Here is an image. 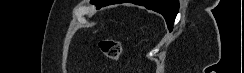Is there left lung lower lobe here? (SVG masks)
Segmentation results:
<instances>
[{
    "label": "left lung lower lobe",
    "mask_w": 244,
    "mask_h": 73,
    "mask_svg": "<svg viewBox=\"0 0 244 73\" xmlns=\"http://www.w3.org/2000/svg\"><path fill=\"white\" fill-rule=\"evenodd\" d=\"M123 2H130L145 6L147 9H151L162 14L167 22L169 30H172L173 23L179 9L178 0H101V4L105 6Z\"/></svg>",
    "instance_id": "1"
}]
</instances>
